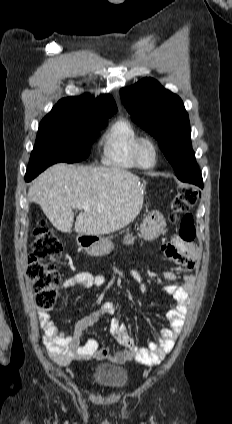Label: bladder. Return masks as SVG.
<instances>
[{"mask_svg": "<svg viewBox=\"0 0 232 424\" xmlns=\"http://www.w3.org/2000/svg\"><path fill=\"white\" fill-rule=\"evenodd\" d=\"M90 380L97 386L118 391L126 387L129 375L127 369L123 366L98 364L94 366Z\"/></svg>", "mask_w": 232, "mask_h": 424, "instance_id": "1", "label": "bladder"}]
</instances>
